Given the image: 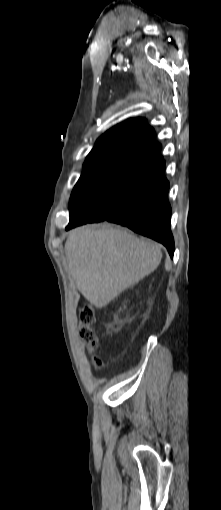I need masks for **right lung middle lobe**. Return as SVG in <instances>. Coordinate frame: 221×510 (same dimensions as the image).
I'll return each mask as SVG.
<instances>
[{"label": "right lung middle lobe", "instance_id": "dd1d6c3e", "mask_svg": "<svg viewBox=\"0 0 221 510\" xmlns=\"http://www.w3.org/2000/svg\"><path fill=\"white\" fill-rule=\"evenodd\" d=\"M152 156L150 152L128 150L87 158L71 194L70 213L79 204H86L90 214L94 215H106L116 210Z\"/></svg>", "mask_w": 221, "mask_h": 510}]
</instances>
